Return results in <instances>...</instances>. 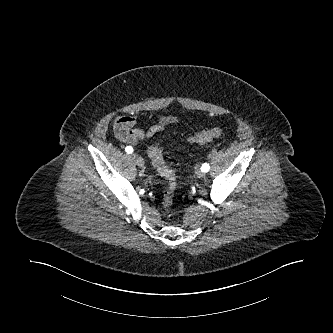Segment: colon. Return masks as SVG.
Returning a JSON list of instances; mask_svg holds the SVG:
<instances>
[{
  "mask_svg": "<svg viewBox=\"0 0 333 333\" xmlns=\"http://www.w3.org/2000/svg\"><path fill=\"white\" fill-rule=\"evenodd\" d=\"M223 134V130L220 128H211L186 138L187 141L191 143L204 144L206 142L212 141ZM163 145L161 143H155L149 148V157L152 161L154 168L163 177L168 185L163 193V207L165 209H170L172 206L177 182L176 173L173 168L169 167L163 157L162 153Z\"/></svg>",
  "mask_w": 333,
  "mask_h": 333,
  "instance_id": "colon-1",
  "label": "colon"
}]
</instances>
